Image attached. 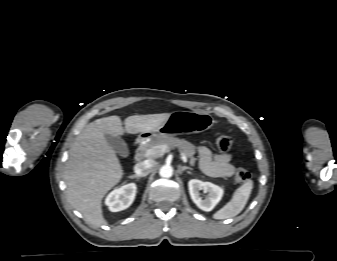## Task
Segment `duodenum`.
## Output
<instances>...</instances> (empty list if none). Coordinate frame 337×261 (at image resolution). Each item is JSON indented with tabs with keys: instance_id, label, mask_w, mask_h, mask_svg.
<instances>
[{
	"instance_id": "1",
	"label": "duodenum",
	"mask_w": 337,
	"mask_h": 261,
	"mask_svg": "<svg viewBox=\"0 0 337 261\" xmlns=\"http://www.w3.org/2000/svg\"><path fill=\"white\" fill-rule=\"evenodd\" d=\"M143 141H144L143 137L138 138L135 143L136 147H138Z\"/></svg>"
}]
</instances>
